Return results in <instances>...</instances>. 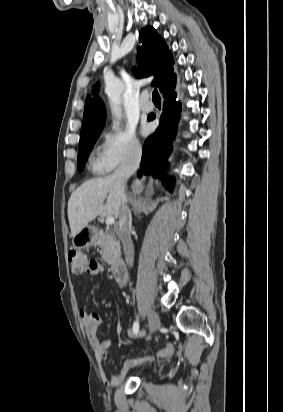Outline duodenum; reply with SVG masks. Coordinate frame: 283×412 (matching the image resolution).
Masks as SVG:
<instances>
[{
  "mask_svg": "<svg viewBox=\"0 0 283 412\" xmlns=\"http://www.w3.org/2000/svg\"><path fill=\"white\" fill-rule=\"evenodd\" d=\"M112 273L118 285L123 286L127 284V280H128L127 271L122 262L117 261L113 264Z\"/></svg>",
  "mask_w": 283,
  "mask_h": 412,
  "instance_id": "duodenum-1",
  "label": "duodenum"
}]
</instances>
